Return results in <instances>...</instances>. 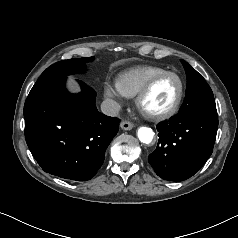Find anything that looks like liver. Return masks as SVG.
<instances>
[{"label":"liver","instance_id":"obj_1","mask_svg":"<svg viewBox=\"0 0 238 238\" xmlns=\"http://www.w3.org/2000/svg\"><path fill=\"white\" fill-rule=\"evenodd\" d=\"M71 89H72L73 91H78L77 87H76V86H73V85H71Z\"/></svg>","mask_w":238,"mask_h":238}]
</instances>
